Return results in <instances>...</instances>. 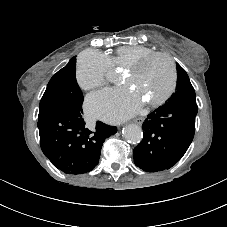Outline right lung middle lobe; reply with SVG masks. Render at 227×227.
I'll return each mask as SVG.
<instances>
[{
	"label": "right lung middle lobe",
	"mask_w": 227,
	"mask_h": 227,
	"mask_svg": "<svg viewBox=\"0 0 227 227\" xmlns=\"http://www.w3.org/2000/svg\"><path fill=\"white\" fill-rule=\"evenodd\" d=\"M76 59L60 69L49 81L39 104V117L62 108H82L83 95L75 77Z\"/></svg>",
	"instance_id": "obj_1"
}]
</instances>
